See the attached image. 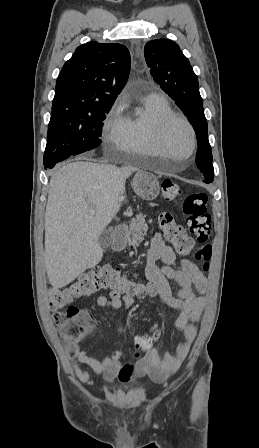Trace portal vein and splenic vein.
I'll use <instances>...</instances> for the list:
<instances>
[{
	"label": "portal vein and splenic vein",
	"mask_w": 259,
	"mask_h": 448,
	"mask_svg": "<svg viewBox=\"0 0 259 448\" xmlns=\"http://www.w3.org/2000/svg\"><path fill=\"white\" fill-rule=\"evenodd\" d=\"M90 214H91V216H94L95 210H91Z\"/></svg>",
	"instance_id": "1"
}]
</instances>
